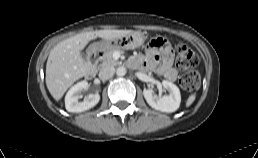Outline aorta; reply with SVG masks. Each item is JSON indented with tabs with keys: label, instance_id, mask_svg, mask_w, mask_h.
<instances>
[{
	"label": "aorta",
	"instance_id": "762f6f07",
	"mask_svg": "<svg viewBox=\"0 0 258 158\" xmlns=\"http://www.w3.org/2000/svg\"><path fill=\"white\" fill-rule=\"evenodd\" d=\"M126 72H127V70H126V68L124 67V66H120V67H118L117 68V70H116V74L118 75V76H124L125 74H126Z\"/></svg>",
	"mask_w": 258,
	"mask_h": 158
}]
</instances>
